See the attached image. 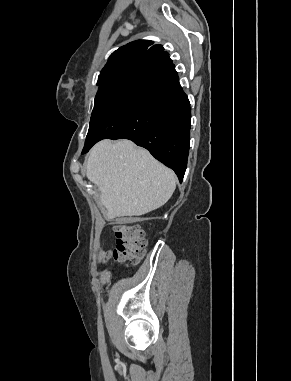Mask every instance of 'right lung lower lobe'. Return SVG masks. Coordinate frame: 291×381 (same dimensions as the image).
Wrapping results in <instances>:
<instances>
[{
  "instance_id": "obj_1",
  "label": "right lung lower lobe",
  "mask_w": 291,
  "mask_h": 381,
  "mask_svg": "<svg viewBox=\"0 0 291 381\" xmlns=\"http://www.w3.org/2000/svg\"><path fill=\"white\" fill-rule=\"evenodd\" d=\"M190 124V103L174 64H170L142 78L120 133L110 139H130L146 148L173 169L182 182L190 146Z\"/></svg>"
}]
</instances>
